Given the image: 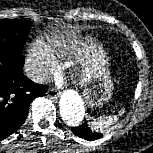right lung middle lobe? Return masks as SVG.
<instances>
[{"label":"right lung middle lobe","instance_id":"1","mask_svg":"<svg viewBox=\"0 0 153 153\" xmlns=\"http://www.w3.org/2000/svg\"><path fill=\"white\" fill-rule=\"evenodd\" d=\"M25 20H0V52L8 51L22 54L23 45L32 26Z\"/></svg>","mask_w":153,"mask_h":153}]
</instances>
